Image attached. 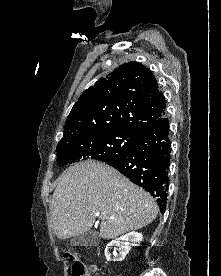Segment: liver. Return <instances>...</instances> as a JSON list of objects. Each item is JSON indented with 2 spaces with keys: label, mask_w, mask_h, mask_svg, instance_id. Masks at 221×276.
I'll return each instance as SVG.
<instances>
[{
  "label": "liver",
  "mask_w": 221,
  "mask_h": 276,
  "mask_svg": "<svg viewBox=\"0 0 221 276\" xmlns=\"http://www.w3.org/2000/svg\"><path fill=\"white\" fill-rule=\"evenodd\" d=\"M51 209L59 239L88 232L98 214L103 239L141 229L158 214L157 203L148 192L116 169L91 160L67 169L53 193Z\"/></svg>",
  "instance_id": "liver-1"
}]
</instances>
